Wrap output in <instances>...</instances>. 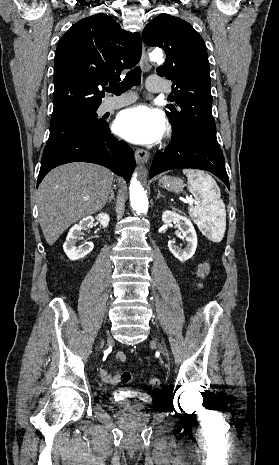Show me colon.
Instances as JSON below:
<instances>
[{"label":"colon","mask_w":279,"mask_h":465,"mask_svg":"<svg viewBox=\"0 0 279 465\" xmlns=\"http://www.w3.org/2000/svg\"><path fill=\"white\" fill-rule=\"evenodd\" d=\"M209 263L208 262H203L202 264H200L199 268H198V276L203 279L207 276L208 272H209ZM120 379L123 383H130L133 379V376L131 374V372L129 371H124L121 375H120ZM147 385L151 388H156L160 385V380L158 378H149L147 380Z\"/></svg>","instance_id":"obj_1"}]
</instances>
